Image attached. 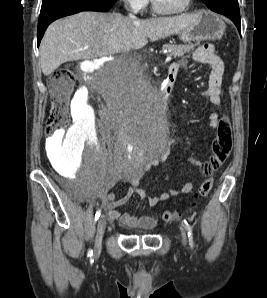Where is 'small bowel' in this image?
Segmentation results:
<instances>
[{
    "label": "small bowel",
    "instance_id": "small-bowel-1",
    "mask_svg": "<svg viewBox=\"0 0 267 298\" xmlns=\"http://www.w3.org/2000/svg\"><path fill=\"white\" fill-rule=\"evenodd\" d=\"M192 58L194 61L206 64L210 68L207 86L206 89L201 92V96L206 98L215 107H220L222 104V79L224 73V64L222 59L215 53L213 46L209 44L198 47L193 53ZM181 65L182 62H175L171 64L169 68H172L177 75ZM220 119L221 117L217 113H210L207 117L208 125L211 128H217ZM64 140L72 142L75 140L74 134L58 131L50 141L55 144ZM194 163L198 165L200 164L198 160H194ZM149 167L150 165L147 166V168ZM141 176L142 173L137 172L119 177L127 179L130 183V187L126 195L122 198H116V196L110 192L107 187L98 192L91 193V196L93 198L100 199L110 220H118L120 224L126 228L150 230L157 224L158 218L156 213L137 217L130 213H121L118 208L126 204L134 194H138L150 207H154L158 203L168 200L173 195L189 193L192 190L193 185L189 180H187L186 183L178 190L171 189L161 192L158 195L150 196L140 187Z\"/></svg>",
    "mask_w": 267,
    "mask_h": 298
}]
</instances>
